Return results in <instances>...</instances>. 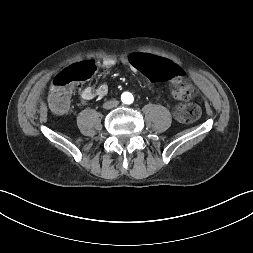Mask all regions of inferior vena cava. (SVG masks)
<instances>
[{"instance_id":"inferior-vena-cava-1","label":"inferior vena cava","mask_w":253,"mask_h":253,"mask_svg":"<svg viewBox=\"0 0 253 253\" xmlns=\"http://www.w3.org/2000/svg\"><path fill=\"white\" fill-rule=\"evenodd\" d=\"M118 101L117 100H110V101H107V102H105L104 104H103V107L105 108V109H111V108H114V107H116L117 105H118Z\"/></svg>"}]
</instances>
